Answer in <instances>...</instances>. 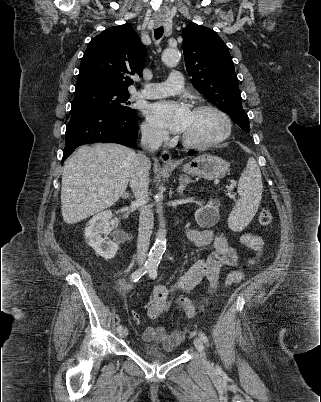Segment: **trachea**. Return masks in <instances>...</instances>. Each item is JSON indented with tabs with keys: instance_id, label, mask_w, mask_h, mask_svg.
<instances>
[{
	"instance_id": "3493384b",
	"label": "trachea",
	"mask_w": 321,
	"mask_h": 402,
	"mask_svg": "<svg viewBox=\"0 0 321 402\" xmlns=\"http://www.w3.org/2000/svg\"><path fill=\"white\" fill-rule=\"evenodd\" d=\"M164 29L163 26H160L154 30V37L156 40L160 39L163 35Z\"/></svg>"
}]
</instances>
